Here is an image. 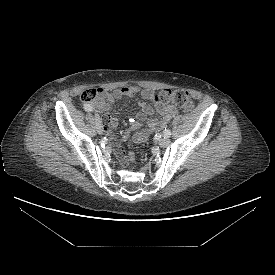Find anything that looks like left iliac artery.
<instances>
[{"instance_id": "44dca946", "label": "left iliac artery", "mask_w": 275, "mask_h": 275, "mask_svg": "<svg viewBox=\"0 0 275 275\" xmlns=\"http://www.w3.org/2000/svg\"><path fill=\"white\" fill-rule=\"evenodd\" d=\"M165 137H170L171 136V131L169 129H165L163 132Z\"/></svg>"}]
</instances>
